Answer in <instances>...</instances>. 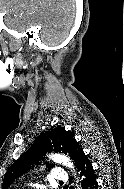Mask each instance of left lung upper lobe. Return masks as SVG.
Instances as JSON below:
<instances>
[{"instance_id":"1","label":"left lung upper lobe","mask_w":124,"mask_h":189,"mask_svg":"<svg viewBox=\"0 0 124 189\" xmlns=\"http://www.w3.org/2000/svg\"><path fill=\"white\" fill-rule=\"evenodd\" d=\"M52 151L68 154L77 168L81 157L84 155L83 149L74 135L58 126L40 134L30 149L9 167L3 179L2 189H7L17 177L30 168L31 164L39 161L44 153ZM52 166L50 164L48 168Z\"/></svg>"}]
</instances>
